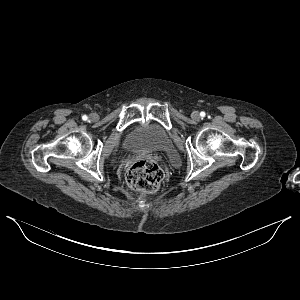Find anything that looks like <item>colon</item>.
<instances>
[{
    "label": "colon",
    "mask_w": 300,
    "mask_h": 300,
    "mask_svg": "<svg viewBox=\"0 0 300 300\" xmlns=\"http://www.w3.org/2000/svg\"><path fill=\"white\" fill-rule=\"evenodd\" d=\"M163 172L152 157H142L132 163L126 172L128 185L137 191L153 193L158 190Z\"/></svg>",
    "instance_id": "obj_1"
}]
</instances>
